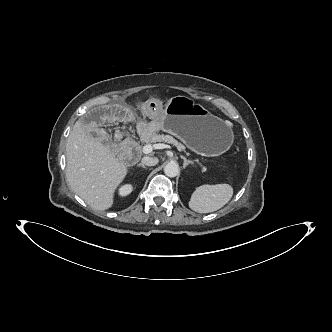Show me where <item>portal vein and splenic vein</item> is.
I'll list each match as a JSON object with an SVG mask.
<instances>
[{
  "mask_svg": "<svg viewBox=\"0 0 332 332\" xmlns=\"http://www.w3.org/2000/svg\"><path fill=\"white\" fill-rule=\"evenodd\" d=\"M168 146L166 145V144H163V143H159V144H154V145H150V144H148V145H145L144 147H143V153L144 154H150V153H152V151L154 150V149H164V148H167Z\"/></svg>",
  "mask_w": 332,
  "mask_h": 332,
  "instance_id": "obj_1",
  "label": "portal vein and splenic vein"
}]
</instances>
